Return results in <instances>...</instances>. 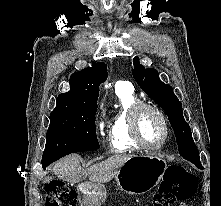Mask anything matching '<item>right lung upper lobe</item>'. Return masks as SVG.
<instances>
[{
  "label": "right lung upper lobe",
  "instance_id": "cb5924a9",
  "mask_svg": "<svg viewBox=\"0 0 221 206\" xmlns=\"http://www.w3.org/2000/svg\"><path fill=\"white\" fill-rule=\"evenodd\" d=\"M107 78L104 63H95L70 78V91L57 97V106L53 112L81 110L97 107L99 85Z\"/></svg>",
  "mask_w": 221,
  "mask_h": 206
}]
</instances>
